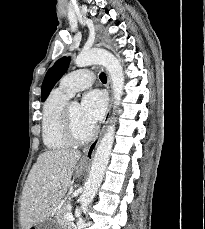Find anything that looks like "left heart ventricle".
Returning a JSON list of instances; mask_svg holds the SVG:
<instances>
[{"label":"left heart ventricle","instance_id":"1","mask_svg":"<svg viewBox=\"0 0 205 229\" xmlns=\"http://www.w3.org/2000/svg\"><path fill=\"white\" fill-rule=\"evenodd\" d=\"M70 113L76 133L80 136L86 135L91 130L92 126L83 120L80 112V105L75 102L71 103Z\"/></svg>","mask_w":205,"mask_h":229}]
</instances>
